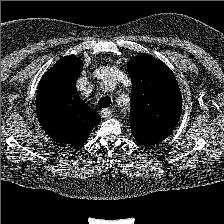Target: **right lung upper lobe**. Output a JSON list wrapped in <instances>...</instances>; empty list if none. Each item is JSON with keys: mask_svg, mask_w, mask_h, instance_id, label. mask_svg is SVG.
Returning <instances> with one entry per match:
<instances>
[{"mask_svg": "<svg viewBox=\"0 0 224 224\" xmlns=\"http://www.w3.org/2000/svg\"><path fill=\"white\" fill-rule=\"evenodd\" d=\"M82 67L78 57H63L41 78L37 90L36 113L43 130L72 147L83 145L101 121L77 94Z\"/></svg>", "mask_w": 224, "mask_h": 224, "instance_id": "1", "label": "right lung upper lobe"}]
</instances>
